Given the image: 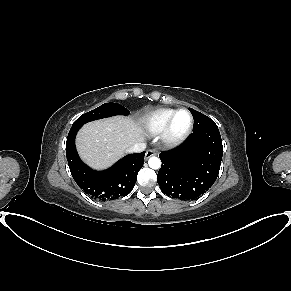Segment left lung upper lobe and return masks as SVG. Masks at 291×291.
Segmentation results:
<instances>
[{
  "label": "left lung upper lobe",
  "instance_id": "obj_1",
  "mask_svg": "<svg viewBox=\"0 0 291 291\" xmlns=\"http://www.w3.org/2000/svg\"><path fill=\"white\" fill-rule=\"evenodd\" d=\"M189 111L191 112V114L193 115L194 118V126H193V132H197L200 130H203L207 127L210 126H217L215 124V122L210 119L209 117H207L206 115L192 109L189 108Z\"/></svg>",
  "mask_w": 291,
  "mask_h": 291
}]
</instances>
